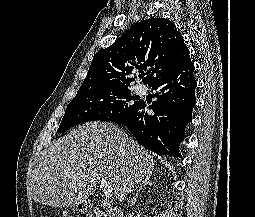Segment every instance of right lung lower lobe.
I'll list each match as a JSON object with an SVG mask.
<instances>
[{"label":"right lung lower lobe","instance_id":"obj_1","mask_svg":"<svg viewBox=\"0 0 255 217\" xmlns=\"http://www.w3.org/2000/svg\"><path fill=\"white\" fill-rule=\"evenodd\" d=\"M194 65L188 59L174 71L151 84L157 90V100L149 107L144 101L126 115L113 119L125 125L137 141L157 154L182 158L179 144L184 139V129L191 121L192 108L196 104ZM154 114L149 115L146 110Z\"/></svg>","mask_w":255,"mask_h":217}]
</instances>
